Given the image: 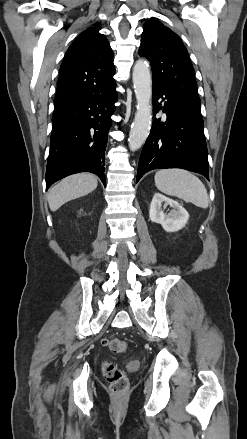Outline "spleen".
<instances>
[{"instance_id":"3e777b00","label":"spleen","mask_w":247,"mask_h":439,"mask_svg":"<svg viewBox=\"0 0 247 439\" xmlns=\"http://www.w3.org/2000/svg\"><path fill=\"white\" fill-rule=\"evenodd\" d=\"M155 185L163 193L176 196L206 209L209 197L198 177L183 169H162L155 174Z\"/></svg>"}]
</instances>
